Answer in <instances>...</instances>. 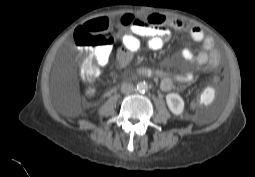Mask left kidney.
Instances as JSON below:
<instances>
[{
    "mask_svg": "<svg viewBox=\"0 0 255 177\" xmlns=\"http://www.w3.org/2000/svg\"><path fill=\"white\" fill-rule=\"evenodd\" d=\"M166 102L170 111L175 115H180L184 110V101L180 95L170 93L166 96Z\"/></svg>",
    "mask_w": 255,
    "mask_h": 177,
    "instance_id": "obj_1",
    "label": "left kidney"
}]
</instances>
